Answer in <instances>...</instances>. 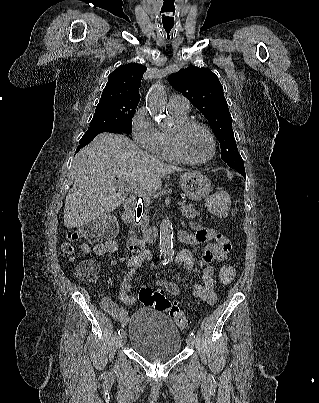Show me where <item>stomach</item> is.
<instances>
[{"label": "stomach", "mask_w": 319, "mask_h": 403, "mask_svg": "<svg viewBox=\"0 0 319 403\" xmlns=\"http://www.w3.org/2000/svg\"><path fill=\"white\" fill-rule=\"evenodd\" d=\"M184 194L193 201H199L212 191L209 179L199 172H188L180 176Z\"/></svg>", "instance_id": "stomach-1"}]
</instances>
